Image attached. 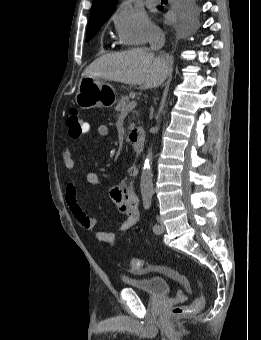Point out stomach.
Wrapping results in <instances>:
<instances>
[{
  "label": "stomach",
  "mask_w": 261,
  "mask_h": 340,
  "mask_svg": "<svg viewBox=\"0 0 261 340\" xmlns=\"http://www.w3.org/2000/svg\"><path fill=\"white\" fill-rule=\"evenodd\" d=\"M117 101L115 88L107 81L92 76H85L80 80L75 96V102L80 108H110Z\"/></svg>",
  "instance_id": "0dacf381"
}]
</instances>
